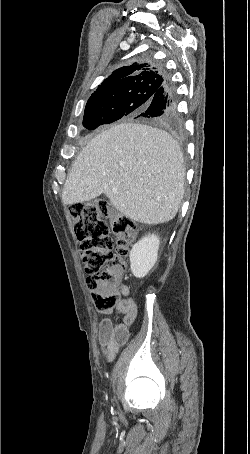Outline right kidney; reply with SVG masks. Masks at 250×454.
Returning <instances> with one entry per match:
<instances>
[{
  "label": "right kidney",
  "mask_w": 250,
  "mask_h": 454,
  "mask_svg": "<svg viewBox=\"0 0 250 454\" xmlns=\"http://www.w3.org/2000/svg\"><path fill=\"white\" fill-rule=\"evenodd\" d=\"M160 240L155 234H148L139 240L130 251V267L133 275L142 278L155 265L158 258Z\"/></svg>",
  "instance_id": "obj_1"
}]
</instances>
